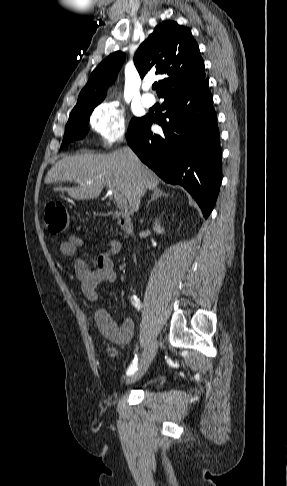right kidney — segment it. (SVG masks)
I'll list each match as a JSON object with an SVG mask.
<instances>
[{"label":"right kidney","mask_w":287,"mask_h":486,"mask_svg":"<svg viewBox=\"0 0 287 486\" xmlns=\"http://www.w3.org/2000/svg\"><path fill=\"white\" fill-rule=\"evenodd\" d=\"M153 230L157 233H163L164 228L160 225V219L154 222Z\"/></svg>","instance_id":"obj_1"}]
</instances>
